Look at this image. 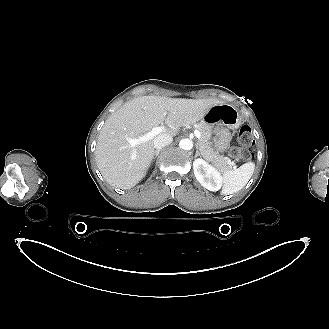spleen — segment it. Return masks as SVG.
Listing matches in <instances>:
<instances>
[{
    "label": "spleen",
    "mask_w": 329,
    "mask_h": 329,
    "mask_svg": "<svg viewBox=\"0 0 329 329\" xmlns=\"http://www.w3.org/2000/svg\"><path fill=\"white\" fill-rule=\"evenodd\" d=\"M255 169L253 162H248L235 170H226L223 173V187L221 193L229 195L241 190L250 180Z\"/></svg>",
    "instance_id": "spleen-1"
}]
</instances>
